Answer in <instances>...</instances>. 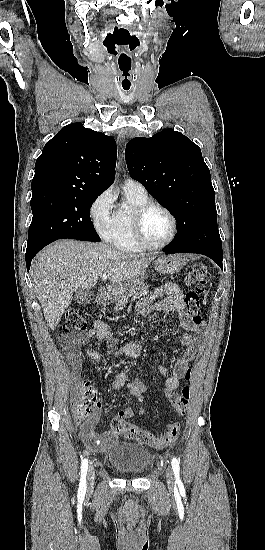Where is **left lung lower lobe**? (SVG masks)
I'll return each instance as SVG.
<instances>
[{
	"mask_svg": "<svg viewBox=\"0 0 265 550\" xmlns=\"http://www.w3.org/2000/svg\"><path fill=\"white\" fill-rule=\"evenodd\" d=\"M163 252L165 254H173V253H178V252L203 254V255H206V256L210 257L212 260H214L222 268V255H218V254H215V253H212V252L186 250V249L179 248V247H177L173 244H170V245L164 247Z\"/></svg>",
	"mask_w": 265,
	"mask_h": 550,
	"instance_id": "left-lung-lower-lobe-1",
	"label": "left lung lower lobe"
}]
</instances>
